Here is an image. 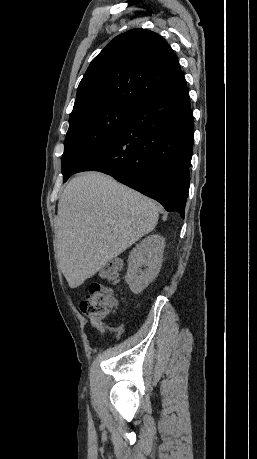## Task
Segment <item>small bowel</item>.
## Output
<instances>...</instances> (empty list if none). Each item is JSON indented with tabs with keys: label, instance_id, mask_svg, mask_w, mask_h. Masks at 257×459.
Segmentation results:
<instances>
[{
	"label": "small bowel",
	"instance_id": "1",
	"mask_svg": "<svg viewBox=\"0 0 257 459\" xmlns=\"http://www.w3.org/2000/svg\"><path fill=\"white\" fill-rule=\"evenodd\" d=\"M88 322L92 327H94L101 334H103V332H104V323H103V321L97 320V319L91 317V318H89Z\"/></svg>",
	"mask_w": 257,
	"mask_h": 459
}]
</instances>
